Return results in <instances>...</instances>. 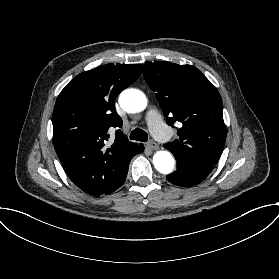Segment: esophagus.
<instances>
[{"label":"esophagus","instance_id":"obj_1","mask_svg":"<svg viewBox=\"0 0 279 279\" xmlns=\"http://www.w3.org/2000/svg\"><path fill=\"white\" fill-rule=\"evenodd\" d=\"M147 145H148L152 150H157V149H159L158 144H157L155 141H153V140H150V141L147 143Z\"/></svg>","mask_w":279,"mask_h":279}]
</instances>
